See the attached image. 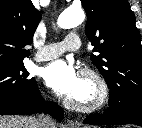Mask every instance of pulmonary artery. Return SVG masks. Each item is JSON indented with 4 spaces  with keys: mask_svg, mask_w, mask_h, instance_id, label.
Here are the masks:
<instances>
[{
    "mask_svg": "<svg viewBox=\"0 0 142 128\" xmlns=\"http://www.w3.org/2000/svg\"><path fill=\"white\" fill-rule=\"evenodd\" d=\"M81 46V41L76 33H69L61 42L51 43L40 48L34 60L37 62L54 59L66 51H77Z\"/></svg>",
    "mask_w": 142,
    "mask_h": 128,
    "instance_id": "pulmonary-artery-1",
    "label": "pulmonary artery"
}]
</instances>
